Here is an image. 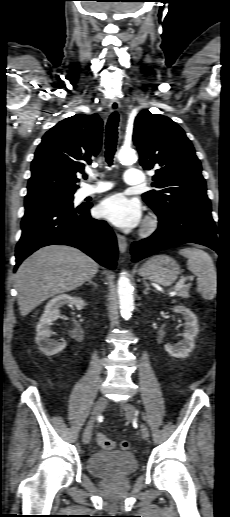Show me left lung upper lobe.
Returning a JSON list of instances; mask_svg holds the SVG:
<instances>
[{"label":"left lung upper lobe","instance_id":"obj_1","mask_svg":"<svg viewBox=\"0 0 230 517\" xmlns=\"http://www.w3.org/2000/svg\"><path fill=\"white\" fill-rule=\"evenodd\" d=\"M133 141L140 164L156 168L151 190L142 195L158 215H169L181 208L211 206L201 164L183 129L170 118L141 111L135 119Z\"/></svg>","mask_w":230,"mask_h":517}]
</instances>
